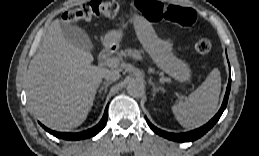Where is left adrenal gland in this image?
<instances>
[{"instance_id":"1","label":"left adrenal gland","mask_w":259,"mask_h":156,"mask_svg":"<svg viewBox=\"0 0 259 156\" xmlns=\"http://www.w3.org/2000/svg\"><path fill=\"white\" fill-rule=\"evenodd\" d=\"M149 84L152 86V90H153V96L156 95L157 92L159 91H163L164 92V89L162 87H157L151 80V78L149 79Z\"/></svg>"}]
</instances>
